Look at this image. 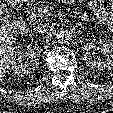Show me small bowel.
I'll return each mask as SVG.
<instances>
[{
	"mask_svg": "<svg viewBox=\"0 0 113 113\" xmlns=\"http://www.w3.org/2000/svg\"><path fill=\"white\" fill-rule=\"evenodd\" d=\"M88 4L94 11L95 16L102 22H104L110 31L113 32V0L109 1V4L106 7L103 6L102 0H86ZM81 18L85 20L87 18L86 14H82Z\"/></svg>",
	"mask_w": 113,
	"mask_h": 113,
	"instance_id": "obj_1",
	"label": "small bowel"
}]
</instances>
